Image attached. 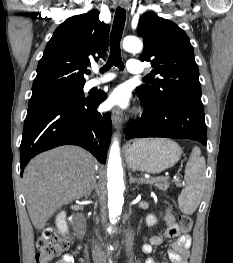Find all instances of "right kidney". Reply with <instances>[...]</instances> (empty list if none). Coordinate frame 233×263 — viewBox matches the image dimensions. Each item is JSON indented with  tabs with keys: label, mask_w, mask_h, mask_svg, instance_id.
Instances as JSON below:
<instances>
[{
	"label": "right kidney",
	"mask_w": 233,
	"mask_h": 263,
	"mask_svg": "<svg viewBox=\"0 0 233 263\" xmlns=\"http://www.w3.org/2000/svg\"><path fill=\"white\" fill-rule=\"evenodd\" d=\"M65 219H66V213L64 211H61L56 217L57 228L62 234H65L68 231V226L66 224Z\"/></svg>",
	"instance_id": "ca27d5eb"
}]
</instances>
